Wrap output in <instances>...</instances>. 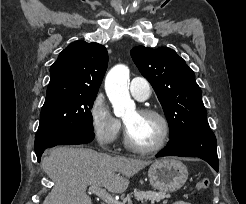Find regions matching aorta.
<instances>
[{
  "mask_svg": "<svg viewBox=\"0 0 246 204\" xmlns=\"http://www.w3.org/2000/svg\"><path fill=\"white\" fill-rule=\"evenodd\" d=\"M129 69L125 65H116L106 76L105 90L117 117L135 114L136 106L129 94Z\"/></svg>",
  "mask_w": 246,
  "mask_h": 204,
  "instance_id": "aorta-1",
  "label": "aorta"
}]
</instances>
